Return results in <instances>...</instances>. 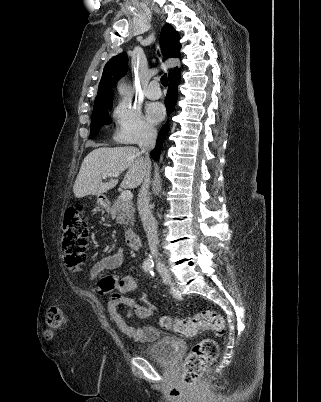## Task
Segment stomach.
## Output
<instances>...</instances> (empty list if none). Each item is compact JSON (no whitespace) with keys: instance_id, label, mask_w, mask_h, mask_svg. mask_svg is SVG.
<instances>
[{"instance_id":"stomach-1","label":"stomach","mask_w":321,"mask_h":402,"mask_svg":"<svg viewBox=\"0 0 321 402\" xmlns=\"http://www.w3.org/2000/svg\"><path fill=\"white\" fill-rule=\"evenodd\" d=\"M105 204H106V199H105V197L99 195V196L97 197V205L100 206V207H103V206H105Z\"/></svg>"}]
</instances>
